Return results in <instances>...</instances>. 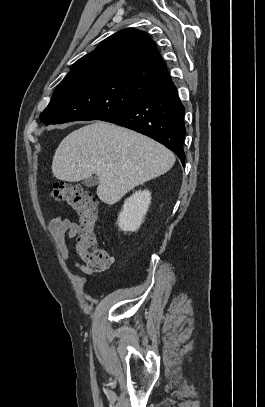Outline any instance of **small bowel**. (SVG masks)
<instances>
[{
  "label": "small bowel",
  "instance_id": "1",
  "mask_svg": "<svg viewBox=\"0 0 265 407\" xmlns=\"http://www.w3.org/2000/svg\"><path fill=\"white\" fill-rule=\"evenodd\" d=\"M48 231L56 242L61 259L67 262L72 255L68 247V240H72L77 236L79 225L67 218L56 215L49 221ZM75 266L84 272L88 278V284L91 285L94 282L93 272L80 263H75Z\"/></svg>",
  "mask_w": 265,
  "mask_h": 407
}]
</instances>
